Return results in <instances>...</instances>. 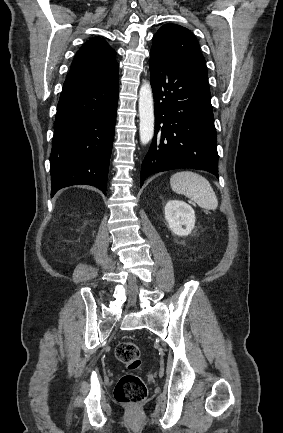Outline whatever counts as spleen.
Wrapping results in <instances>:
<instances>
[{
    "mask_svg": "<svg viewBox=\"0 0 283 433\" xmlns=\"http://www.w3.org/2000/svg\"><path fill=\"white\" fill-rule=\"evenodd\" d=\"M170 184L174 192L185 194L202 208L215 210L218 206L217 196L209 180L196 172H190V170L175 172L170 178Z\"/></svg>",
    "mask_w": 283,
    "mask_h": 433,
    "instance_id": "3e777b00",
    "label": "spleen"
}]
</instances>
